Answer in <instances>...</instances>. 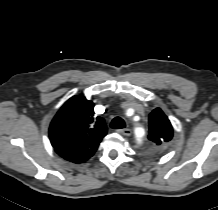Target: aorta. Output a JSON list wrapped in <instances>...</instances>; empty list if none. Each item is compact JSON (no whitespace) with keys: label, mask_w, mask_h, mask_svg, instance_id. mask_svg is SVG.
Returning <instances> with one entry per match:
<instances>
[{"label":"aorta","mask_w":218,"mask_h":210,"mask_svg":"<svg viewBox=\"0 0 218 210\" xmlns=\"http://www.w3.org/2000/svg\"><path fill=\"white\" fill-rule=\"evenodd\" d=\"M135 136L137 140H140L144 136V129L140 126L135 127Z\"/></svg>","instance_id":"762f6f07"}]
</instances>
